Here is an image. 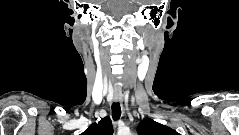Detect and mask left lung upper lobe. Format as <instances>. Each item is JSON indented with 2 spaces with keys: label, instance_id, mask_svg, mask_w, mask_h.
<instances>
[{
  "label": "left lung upper lobe",
  "instance_id": "5c2ea615",
  "mask_svg": "<svg viewBox=\"0 0 239 135\" xmlns=\"http://www.w3.org/2000/svg\"><path fill=\"white\" fill-rule=\"evenodd\" d=\"M139 135H180L175 130L152 119L142 120L137 128Z\"/></svg>",
  "mask_w": 239,
  "mask_h": 135
}]
</instances>
